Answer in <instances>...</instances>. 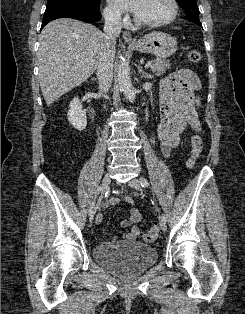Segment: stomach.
<instances>
[{
	"instance_id": "0dacf381",
	"label": "stomach",
	"mask_w": 245,
	"mask_h": 314,
	"mask_svg": "<svg viewBox=\"0 0 245 314\" xmlns=\"http://www.w3.org/2000/svg\"><path fill=\"white\" fill-rule=\"evenodd\" d=\"M132 47L139 52H146L158 58H168L177 50V41L167 33L154 31L140 38Z\"/></svg>"
}]
</instances>
